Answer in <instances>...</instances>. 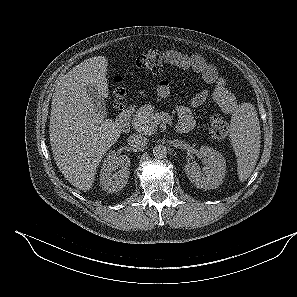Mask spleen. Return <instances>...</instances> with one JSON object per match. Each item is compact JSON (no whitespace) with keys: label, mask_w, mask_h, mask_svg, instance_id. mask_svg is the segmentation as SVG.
<instances>
[{"label":"spleen","mask_w":297,"mask_h":297,"mask_svg":"<svg viewBox=\"0 0 297 297\" xmlns=\"http://www.w3.org/2000/svg\"><path fill=\"white\" fill-rule=\"evenodd\" d=\"M261 131L255 107L244 103L231 118L230 140L237 157L238 178L247 180L253 172L260 152Z\"/></svg>","instance_id":"1"}]
</instances>
